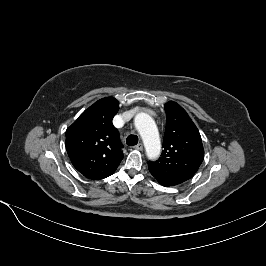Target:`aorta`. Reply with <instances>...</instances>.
Wrapping results in <instances>:
<instances>
[{
    "mask_svg": "<svg viewBox=\"0 0 266 266\" xmlns=\"http://www.w3.org/2000/svg\"><path fill=\"white\" fill-rule=\"evenodd\" d=\"M134 124L139 132L148 158L155 159L159 156L161 145L158 130L152 117L144 112L135 116Z\"/></svg>",
    "mask_w": 266,
    "mask_h": 266,
    "instance_id": "1",
    "label": "aorta"
}]
</instances>
